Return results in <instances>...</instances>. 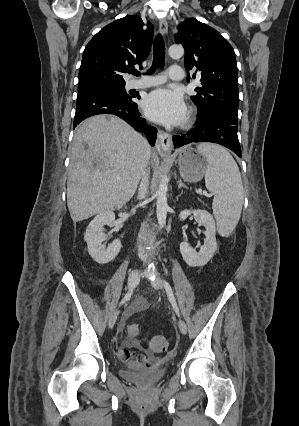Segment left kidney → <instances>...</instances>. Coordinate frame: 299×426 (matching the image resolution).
Wrapping results in <instances>:
<instances>
[{"instance_id":"5707ae66","label":"left kidney","mask_w":299,"mask_h":426,"mask_svg":"<svg viewBox=\"0 0 299 426\" xmlns=\"http://www.w3.org/2000/svg\"><path fill=\"white\" fill-rule=\"evenodd\" d=\"M191 214H193L197 223L206 228L204 245L197 252L190 247L189 243L182 242L180 244V252L184 261L190 267H200L206 265L217 250L215 221L212 215L203 209L183 210L179 214V218L183 221Z\"/></svg>"}]
</instances>
